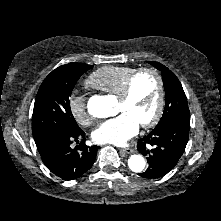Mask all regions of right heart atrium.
I'll return each mask as SVG.
<instances>
[{"label":"right heart atrium","instance_id":"d8ad5b80","mask_svg":"<svg viewBox=\"0 0 221 221\" xmlns=\"http://www.w3.org/2000/svg\"><path fill=\"white\" fill-rule=\"evenodd\" d=\"M68 108L71 115L80 125L88 126L94 121V117L91 115L87 108V101L85 96L78 93L77 91H72L69 95Z\"/></svg>","mask_w":221,"mask_h":221}]
</instances>
